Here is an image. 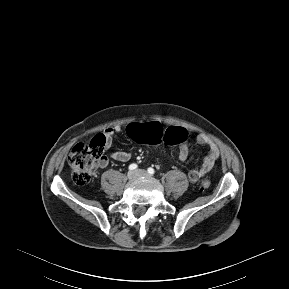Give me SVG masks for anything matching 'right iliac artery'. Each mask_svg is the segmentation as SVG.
Wrapping results in <instances>:
<instances>
[{
    "label": "right iliac artery",
    "instance_id": "1",
    "mask_svg": "<svg viewBox=\"0 0 289 289\" xmlns=\"http://www.w3.org/2000/svg\"><path fill=\"white\" fill-rule=\"evenodd\" d=\"M137 167H138L137 164L133 163L129 166V170H135L137 169Z\"/></svg>",
    "mask_w": 289,
    "mask_h": 289
}]
</instances>
